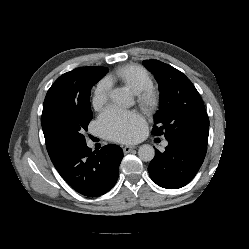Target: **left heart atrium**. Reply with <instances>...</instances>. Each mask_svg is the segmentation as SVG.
<instances>
[{
	"label": "left heart atrium",
	"mask_w": 249,
	"mask_h": 249,
	"mask_svg": "<svg viewBox=\"0 0 249 249\" xmlns=\"http://www.w3.org/2000/svg\"><path fill=\"white\" fill-rule=\"evenodd\" d=\"M98 124L105 137L117 142L136 141L144 132V123L139 116L115 106L100 115Z\"/></svg>",
	"instance_id": "1"
}]
</instances>
